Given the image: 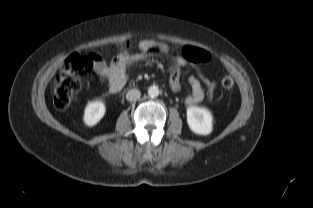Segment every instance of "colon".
Wrapping results in <instances>:
<instances>
[{
  "label": "colon",
  "mask_w": 313,
  "mask_h": 208,
  "mask_svg": "<svg viewBox=\"0 0 313 208\" xmlns=\"http://www.w3.org/2000/svg\"><path fill=\"white\" fill-rule=\"evenodd\" d=\"M131 48L129 42H124L119 46H109L105 49V53L118 50L126 52ZM183 56L190 64L208 63L211 60L210 54L200 48L186 47L183 50ZM101 59L100 54L94 52L74 53L72 54L60 74L55 80L53 87V101L58 109H65L69 106L74 96L79 91L82 83L89 77L94 62ZM209 99L212 100L215 93V83L211 79H205ZM234 82L228 74H223L221 77V85L225 89L232 88Z\"/></svg>",
  "instance_id": "obj_1"
}]
</instances>
